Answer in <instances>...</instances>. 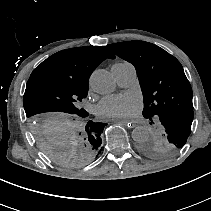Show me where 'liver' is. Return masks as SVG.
<instances>
[{
    "instance_id": "6515ba94",
    "label": "liver",
    "mask_w": 211,
    "mask_h": 211,
    "mask_svg": "<svg viewBox=\"0 0 211 211\" xmlns=\"http://www.w3.org/2000/svg\"><path fill=\"white\" fill-rule=\"evenodd\" d=\"M48 116L50 118V121H49L50 124H55L58 119H64L65 120V123H67V124L69 122L68 119H67V117L69 115L68 114H65V113L54 112V113L48 114Z\"/></svg>"
}]
</instances>
